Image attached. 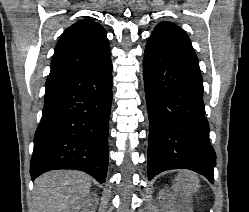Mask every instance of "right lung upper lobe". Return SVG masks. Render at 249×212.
<instances>
[{
    "label": "right lung upper lobe",
    "instance_id": "1",
    "mask_svg": "<svg viewBox=\"0 0 249 212\" xmlns=\"http://www.w3.org/2000/svg\"><path fill=\"white\" fill-rule=\"evenodd\" d=\"M110 56L105 29L93 20H80L61 35L46 84L86 71Z\"/></svg>",
    "mask_w": 249,
    "mask_h": 212
}]
</instances>
